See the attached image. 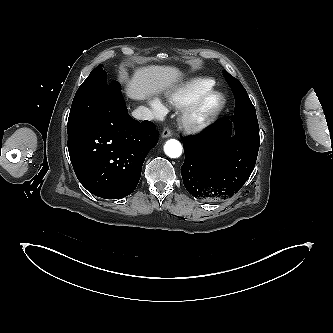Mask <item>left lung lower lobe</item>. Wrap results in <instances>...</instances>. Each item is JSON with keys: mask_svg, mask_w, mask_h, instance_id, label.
Here are the masks:
<instances>
[{"mask_svg": "<svg viewBox=\"0 0 333 333\" xmlns=\"http://www.w3.org/2000/svg\"><path fill=\"white\" fill-rule=\"evenodd\" d=\"M248 127L220 120L203 133L182 138L185 162L181 174L185 188L204 201L225 200L236 194L250 177L259 141Z\"/></svg>", "mask_w": 333, "mask_h": 333, "instance_id": "0a47b994", "label": "left lung lower lobe"}]
</instances>
